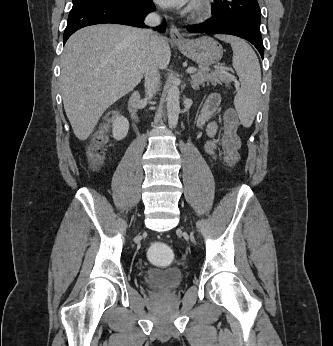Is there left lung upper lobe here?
I'll return each instance as SVG.
<instances>
[{"mask_svg":"<svg viewBox=\"0 0 333 346\" xmlns=\"http://www.w3.org/2000/svg\"><path fill=\"white\" fill-rule=\"evenodd\" d=\"M212 14L219 19H239L260 28L257 0H214Z\"/></svg>","mask_w":333,"mask_h":346,"instance_id":"5c2ea615","label":"left lung upper lobe"}]
</instances>
